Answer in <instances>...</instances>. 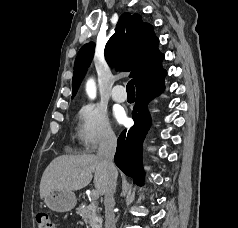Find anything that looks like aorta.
Returning <instances> with one entry per match:
<instances>
[{"instance_id": "762f6f07", "label": "aorta", "mask_w": 238, "mask_h": 228, "mask_svg": "<svg viewBox=\"0 0 238 228\" xmlns=\"http://www.w3.org/2000/svg\"><path fill=\"white\" fill-rule=\"evenodd\" d=\"M86 91L90 98H94L96 96V87L92 79L88 80L86 84Z\"/></svg>"}]
</instances>
